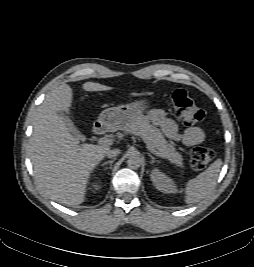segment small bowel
Masks as SVG:
<instances>
[{"label":"small bowel","mask_w":254,"mask_h":267,"mask_svg":"<svg viewBox=\"0 0 254 267\" xmlns=\"http://www.w3.org/2000/svg\"><path fill=\"white\" fill-rule=\"evenodd\" d=\"M148 117L170 140L176 143L191 147L201 144L205 140V133L201 128L190 127L180 132L177 124L160 109L151 110Z\"/></svg>","instance_id":"obj_1"}]
</instances>
